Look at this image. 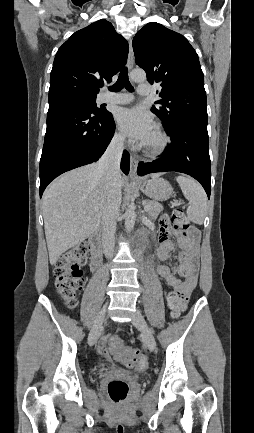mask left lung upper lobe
Masks as SVG:
<instances>
[{"label":"left lung upper lobe","mask_w":254,"mask_h":433,"mask_svg":"<svg viewBox=\"0 0 254 433\" xmlns=\"http://www.w3.org/2000/svg\"><path fill=\"white\" fill-rule=\"evenodd\" d=\"M133 50L149 83L162 87V100L151 111L165 131L187 120L208 122L203 72L196 51L183 35L148 23L134 37Z\"/></svg>","instance_id":"left-lung-upper-lobe-1"}]
</instances>
